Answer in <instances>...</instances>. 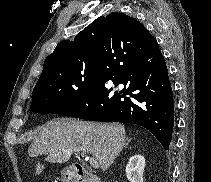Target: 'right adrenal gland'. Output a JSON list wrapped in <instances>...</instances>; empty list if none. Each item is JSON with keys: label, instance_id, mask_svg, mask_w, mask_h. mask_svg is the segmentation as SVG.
I'll use <instances>...</instances> for the list:
<instances>
[{"label": "right adrenal gland", "instance_id": "1", "mask_svg": "<svg viewBox=\"0 0 211 182\" xmlns=\"http://www.w3.org/2000/svg\"><path fill=\"white\" fill-rule=\"evenodd\" d=\"M130 141H131V139L127 140V143L124 145V148H126L129 145Z\"/></svg>", "mask_w": 211, "mask_h": 182}]
</instances>
